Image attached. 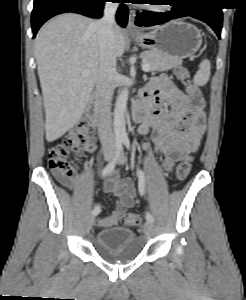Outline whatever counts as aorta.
I'll list each match as a JSON object with an SVG mask.
<instances>
[{"label":"aorta","mask_w":246,"mask_h":300,"mask_svg":"<svg viewBox=\"0 0 246 300\" xmlns=\"http://www.w3.org/2000/svg\"><path fill=\"white\" fill-rule=\"evenodd\" d=\"M129 97V90L128 87L125 86L122 88L121 92L119 93L115 108H114V134L117 139H126L127 133H126V121H125V113H126V107Z\"/></svg>","instance_id":"aorta-1"}]
</instances>
